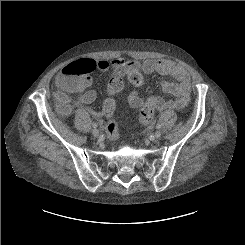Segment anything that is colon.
Returning a JSON list of instances; mask_svg holds the SVG:
<instances>
[{"label": "colon", "mask_w": 245, "mask_h": 245, "mask_svg": "<svg viewBox=\"0 0 245 245\" xmlns=\"http://www.w3.org/2000/svg\"><path fill=\"white\" fill-rule=\"evenodd\" d=\"M97 70L95 61L88 58H77L68 63L63 68V75L57 81L59 89L67 93L80 91L88 86V77ZM126 80L135 87H140L143 83V77L138 71L131 72ZM124 78L122 76H114L109 84V96L103 103V112L110 119L107 125V132L111 137H116V124L111 119L115 112L116 104L112 95L120 91L124 86ZM63 101L62 113L68 112V107L64 101V96L60 95ZM155 109L150 103H144L139 109V118L142 123H149L154 115Z\"/></svg>", "instance_id": "colon-1"}]
</instances>
